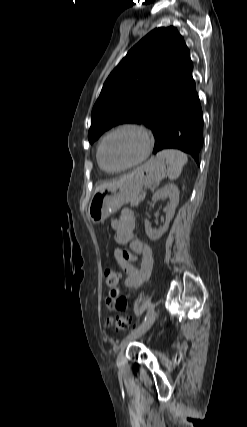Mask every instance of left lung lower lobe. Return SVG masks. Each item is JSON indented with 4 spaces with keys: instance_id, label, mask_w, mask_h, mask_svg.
Masks as SVG:
<instances>
[{
    "instance_id": "obj_1",
    "label": "left lung lower lobe",
    "mask_w": 247,
    "mask_h": 427,
    "mask_svg": "<svg viewBox=\"0 0 247 427\" xmlns=\"http://www.w3.org/2000/svg\"><path fill=\"white\" fill-rule=\"evenodd\" d=\"M150 128L156 139L154 154L175 148L190 154L199 165L203 116L194 80L163 104Z\"/></svg>"
}]
</instances>
